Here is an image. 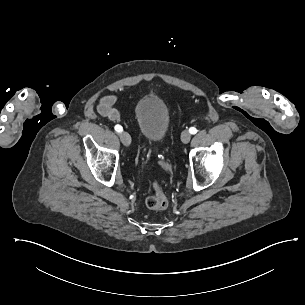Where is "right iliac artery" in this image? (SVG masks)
<instances>
[{
  "instance_id": "obj_1",
  "label": "right iliac artery",
  "mask_w": 305,
  "mask_h": 305,
  "mask_svg": "<svg viewBox=\"0 0 305 305\" xmlns=\"http://www.w3.org/2000/svg\"><path fill=\"white\" fill-rule=\"evenodd\" d=\"M115 130H116L117 132H122V131H123V128H122L121 125H116V126H115Z\"/></svg>"
}]
</instances>
